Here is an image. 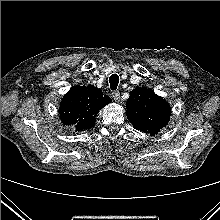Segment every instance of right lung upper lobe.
Instances as JSON below:
<instances>
[{
  "mask_svg": "<svg viewBox=\"0 0 220 220\" xmlns=\"http://www.w3.org/2000/svg\"><path fill=\"white\" fill-rule=\"evenodd\" d=\"M110 102L111 98L103 96L97 87L77 85L64 95L59 107L60 119L76 131L89 129L94 126L98 111Z\"/></svg>",
  "mask_w": 220,
  "mask_h": 220,
  "instance_id": "cb5924a9",
  "label": "right lung upper lobe"
}]
</instances>
